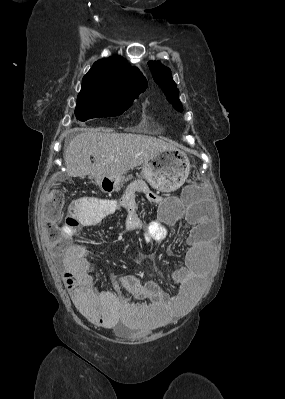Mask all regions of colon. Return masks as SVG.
I'll return each mask as SVG.
<instances>
[{"instance_id": "colon-1", "label": "colon", "mask_w": 285, "mask_h": 399, "mask_svg": "<svg viewBox=\"0 0 285 399\" xmlns=\"http://www.w3.org/2000/svg\"><path fill=\"white\" fill-rule=\"evenodd\" d=\"M204 186V179L201 176L196 177L191 183L190 188L186 191V196H195L198 190ZM154 199L156 200L157 197ZM63 209L64 193L57 186H54L46 193L43 199L41 213L45 221L44 227L48 240L56 247L67 241V238L62 233L61 227L57 224L62 217ZM87 305L96 306V303L94 301H88Z\"/></svg>"}]
</instances>
